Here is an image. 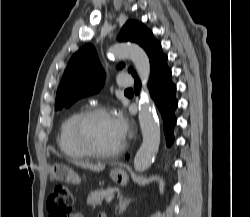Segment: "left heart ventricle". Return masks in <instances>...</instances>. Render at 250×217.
Instances as JSON below:
<instances>
[{"label":"left heart ventricle","instance_id":"b2bd125f","mask_svg":"<svg viewBox=\"0 0 250 217\" xmlns=\"http://www.w3.org/2000/svg\"><path fill=\"white\" fill-rule=\"evenodd\" d=\"M86 133L90 142L104 151L118 147L123 141L110 114L91 118L86 125Z\"/></svg>","mask_w":250,"mask_h":217}]
</instances>
